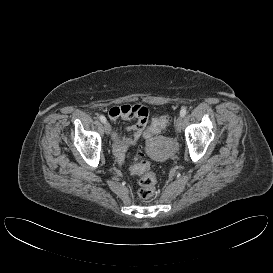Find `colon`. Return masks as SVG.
<instances>
[{"instance_id": "obj_1", "label": "colon", "mask_w": 273, "mask_h": 273, "mask_svg": "<svg viewBox=\"0 0 273 273\" xmlns=\"http://www.w3.org/2000/svg\"><path fill=\"white\" fill-rule=\"evenodd\" d=\"M170 120L169 115H162L155 118L146 130L145 137L150 138L160 134L169 125ZM130 170L133 174L139 176L138 196L144 200L153 198L157 193V177L155 172L152 171L149 162L140 154L132 164Z\"/></svg>"}]
</instances>
